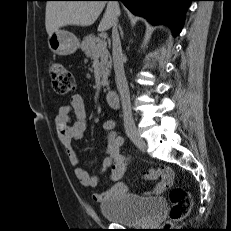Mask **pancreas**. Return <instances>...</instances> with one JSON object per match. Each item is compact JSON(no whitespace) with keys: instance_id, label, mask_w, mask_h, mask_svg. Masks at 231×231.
Here are the masks:
<instances>
[{"instance_id":"cf45deb5","label":"pancreas","mask_w":231,"mask_h":231,"mask_svg":"<svg viewBox=\"0 0 231 231\" xmlns=\"http://www.w3.org/2000/svg\"><path fill=\"white\" fill-rule=\"evenodd\" d=\"M100 40L94 35H88L84 37L83 41L80 44L81 50L85 55L91 59L100 58L99 69L100 76L102 78L101 85L108 86V75L110 74L111 69V57L106 48L101 49L98 47Z\"/></svg>"}]
</instances>
